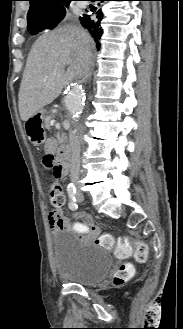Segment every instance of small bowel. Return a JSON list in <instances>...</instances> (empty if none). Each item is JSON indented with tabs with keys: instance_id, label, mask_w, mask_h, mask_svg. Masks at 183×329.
Wrapping results in <instances>:
<instances>
[{
	"instance_id": "small-bowel-1",
	"label": "small bowel",
	"mask_w": 183,
	"mask_h": 329,
	"mask_svg": "<svg viewBox=\"0 0 183 329\" xmlns=\"http://www.w3.org/2000/svg\"><path fill=\"white\" fill-rule=\"evenodd\" d=\"M58 142L56 139H48L45 143L44 151L45 154L54 155L57 150ZM85 220H74L73 226L70 221L64 216L61 210H53L47 215V223L53 234L58 231L71 230L78 232L80 236H88L90 232H96L97 226L93 225L90 217L82 215ZM91 224V225H90ZM84 241H89V238L83 237Z\"/></svg>"
}]
</instances>
